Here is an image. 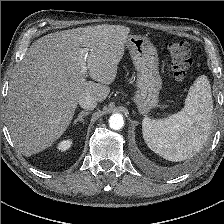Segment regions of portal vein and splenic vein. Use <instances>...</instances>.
<instances>
[{"label": "portal vein and splenic vein", "instance_id": "18ae733b", "mask_svg": "<svg viewBox=\"0 0 224 224\" xmlns=\"http://www.w3.org/2000/svg\"><path fill=\"white\" fill-rule=\"evenodd\" d=\"M88 55V50L86 48H83L80 50V56H79V60H80V65H81V73L82 74H87L88 68L86 65V57Z\"/></svg>", "mask_w": 224, "mask_h": 224}]
</instances>
